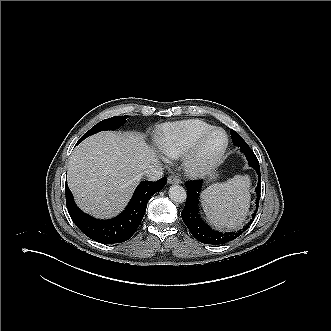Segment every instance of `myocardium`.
Listing matches in <instances>:
<instances>
[{
	"label": "myocardium",
	"mask_w": 331,
	"mask_h": 331,
	"mask_svg": "<svg viewBox=\"0 0 331 331\" xmlns=\"http://www.w3.org/2000/svg\"><path fill=\"white\" fill-rule=\"evenodd\" d=\"M216 132L222 133L224 143L213 155L204 154V146L208 138ZM229 145L227 133L221 128H211L197 138L194 144L188 149L184 156V165L188 172L194 175L206 173L217 167L223 160Z\"/></svg>",
	"instance_id": "1"
}]
</instances>
